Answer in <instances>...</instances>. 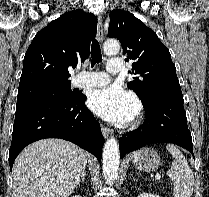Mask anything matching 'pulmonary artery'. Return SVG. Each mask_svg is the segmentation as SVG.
Instances as JSON below:
<instances>
[{"mask_svg": "<svg viewBox=\"0 0 209 197\" xmlns=\"http://www.w3.org/2000/svg\"><path fill=\"white\" fill-rule=\"evenodd\" d=\"M122 65L119 58L111 59L107 65V72L110 74H118L121 71ZM110 78L105 72H85L83 77L75 79L77 87H98L108 84Z\"/></svg>", "mask_w": 209, "mask_h": 197, "instance_id": "1", "label": "pulmonary artery"}]
</instances>
